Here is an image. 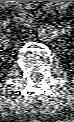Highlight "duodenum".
<instances>
[{
  "label": "duodenum",
  "instance_id": "obj_1",
  "mask_svg": "<svg viewBox=\"0 0 74 122\" xmlns=\"http://www.w3.org/2000/svg\"><path fill=\"white\" fill-rule=\"evenodd\" d=\"M13 1H2V4L5 6H9Z\"/></svg>",
  "mask_w": 74,
  "mask_h": 122
}]
</instances>
